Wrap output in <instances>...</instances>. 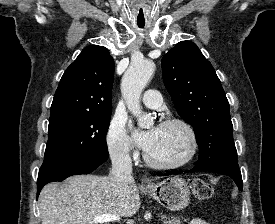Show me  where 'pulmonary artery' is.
<instances>
[{"mask_svg": "<svg viewBox=\"0 0 275 224\" xmlns=\"http://www.w3.org/2000/svg\"><path fill=\"white\" fill-rule=\"evenodd\" d=\"M142 102L148 108H157L161 104V94L155 89H149L145 92Z\"/></svg>", "mask_w": 275, "mask_h": 224, "instance_id": "obj_1", "label": "pulmonary artery"}]
</instances>
